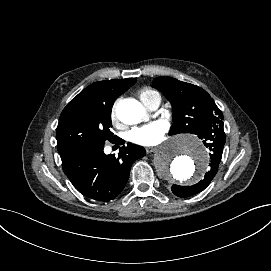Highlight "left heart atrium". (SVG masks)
Masks as SVG:
<instances>
[{
  "mask_svg": "<svg viewBox=\"0 0 271 271\" xmlns=\"http://www.w3.org/2000/svg\"><path fill=\"white\" fill-rule=\"evenodd\" d=\"M167 128L168 126L164 121L156 120L132 130L129 134V139L138 145L153 146L163 140Z\"/></svg>",
  "mask_w": 271,
  "mask_h": 271,
  "instance_id": "39dd6f15",
  "label": "left heart atrium"
}]
</instances>
